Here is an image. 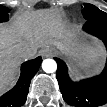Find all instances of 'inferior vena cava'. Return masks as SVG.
I'll list each match as a JSON object with an SVG mask.
<instances>
[{"instance_id":"602c4592","label":"inferior vena cava","mask_w":107,"mask_h":107,"mask_svg":"<svg viewBox=\"0 0 107 107\" xmlns=\"http://www.w3.org/2000/svg\"><path fill=\"white\" fill-rule=\"evenodd\" d=\"M36 54H37L36 51H32V50H30V49H24V50H22V51L20 52V55H21L22 57L28 58V59L35 57Z\"/></svg>"}]
</instances>
